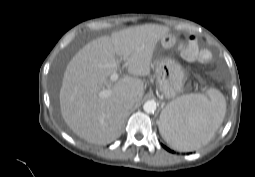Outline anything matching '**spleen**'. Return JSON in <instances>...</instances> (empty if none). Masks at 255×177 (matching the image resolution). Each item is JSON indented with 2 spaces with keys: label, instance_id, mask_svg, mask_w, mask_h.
<instances>
[{
  "label": "spleen",
  "instance_id": "1",
  "mask_svg": "<svg viewBox=\"0 0 255 177\" xmlns=\"http://www.w3.org/2000/svg\"><path fill=\"white\" fill-rule=\"evenodd\" d=\"M160 115V133L175 150L192 151L206 145L215 135L226 113L224 96L215 89L188 94L172 101Z\"/></svg>",
  "mask_w": 255,
  "mask_h": 177
}]
</instances>
